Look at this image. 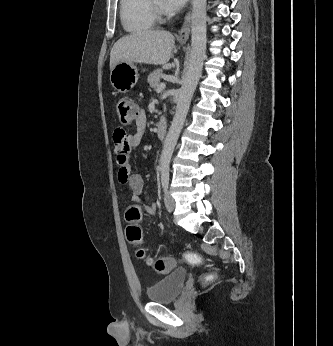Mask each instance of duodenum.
Returning a JSON list of instances; mask_svg holds the SVG:
<instances>
[{
	"label": "duodenum",
	"mask_w": 333,
	"mask_h": 346,
	"mask_svg": "<svg viewBox=\"0 0 333 346\" xmlns=\"http://www.w3.org/2000/svg\"><path fill=\"white\" fill-rule=\"evenodd\" d=\"M167 122L163 119H160L157 123V136L160 139H163L166 136L167 133Z\"/></svg>",
	"instance_id": "duodenum-1"
}]
</instances>
